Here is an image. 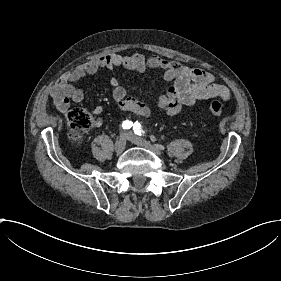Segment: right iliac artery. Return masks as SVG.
<instances>
[{
    "mask_svg": "<svg viewBox=\"0 0 281 281\" xmlns=\"http://www.w3.org/2000/svg\"><path fill=\"white\" fill-rule=\"evenodd\" d=\"M133 123L129 120H125L123 123H122V127L123 129H130L132 127Z\"/></svg>",
    "mask_w": 281,
    "mask_h": 281,
    "instance_id": "obj_1",
    "label": "right iliac artery"
}]
</instances>
